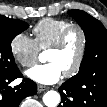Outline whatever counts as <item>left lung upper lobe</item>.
Wrapping results in <instances>:
<instances>
[{
    "mask_svg": "<svg viewBox=\"0 0 107 107\" xmlns=\"http://www.w3.org/2000/svg\"><path fill=\"white\" fill-rule=\"evenodd\" d=\"M68 14L72 16L81 26L86 37V51L80 66L79 73L69 79L77 84L82 81L100 75L107 77V30L100 21L90 16L82 10H70ZM79 86L82 94L86 93L84 88ZM83 95L77 94L68 97L66 104L68 107H81Z\"/></svg>",
    "mask_w": 107,
    "mask_h": 107,
    "instance_id": "5c2ea615",
    "label": "left lung upper lobe"
}]
</instances>
